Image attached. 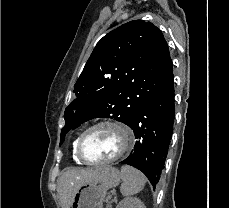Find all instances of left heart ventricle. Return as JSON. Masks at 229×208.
Segmentation results:
<instances>
[{"mask_svg": "<svg viewBox=\"0 0 229 208\" xmlns=\"http://www.w3.org/2000/svg\"><path fill=\"white\" fill-rule=\"evenodd\" d=\"M118 128L102 126L90 131L84 138L83 151L88 160H110L117 155L123 147L117 141L120 135H116ZM123 138H126L123 133Z\"/></svg>", "mask_w": 229, "mask_h": 208, "instance_id": "1", "label": "left heart ventricle"}]
</instances>
